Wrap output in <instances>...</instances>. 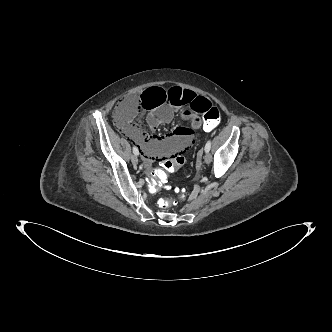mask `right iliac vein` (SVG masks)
Instances as JSON below:
<instances>
[{
	"label": "right iliac vein",
	"instance_id": "1",
	"mask_svg": "<svg viewBox=\"0 0 332 332\" xmlns=\"http://www.w3.org/2000/svg\"><path fill=\"white\" fill-rule=\"evenodd\" d=\"M131 162H132L133 164H137V163H138V158H137L136 155H132V156H131Z\"/></svg>",
	"mask_w": 332,
	"mask_h": 332
}]
</instances>
